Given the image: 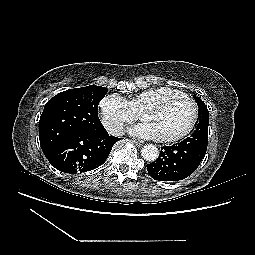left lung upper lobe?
Here are the masks:
<instances>
[{
  "label": "left lung upper lobe",
  "mask_w": 255,
  "mask_h": 255,
  "mask_svg": "<svg viewBox=\"0 0 255 255\" xmlns=\"http://www.w3.org/2000/svg\"><path fill=\"white\" fill-rule=\"evenodd\" d=\"M199 108H200V114H199V123L197 125L198 127H201L203 125L208 126L209 120H208V116H209V112L208 109L205 105V103L200 99V97H196L195 98Z\"/></svg>",
  "instance_id": "5c2ea615"
}]
</instances>
